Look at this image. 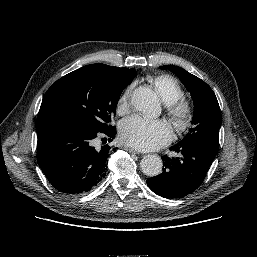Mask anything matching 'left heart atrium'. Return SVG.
Here are the masks:
<instances>
[{
	"label": "left heart atrium",
	"instance_id": "obj_1",
	"mask_svg": "<svg viewBox=\"0 0 257 257\" xmlns=\"http://www.w3.org/2000/svg\"><path fill=\"white\" fill-rule=\"evenodd\" d=\"M119 139L138 150H154L168 144L171 133L162 121L132 116L120 124Z\"/></svg>",
	"mask_w": 257,
	"mask_h": 257
}]
</instances>
